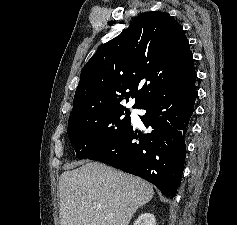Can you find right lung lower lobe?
<instances>
[{"instance_id": "obj_1", "label": "right lung lower lobe", "mask_w": 237, "mask_h": 225, "mask_svg": "<svg viewBox=\"0 0 237 225\" xmlns=\"http://www.w3.org/2000/svg\"><path fill=\"white\" fill-rule=\"evenodd\" d=\"M197 95L195 83L183 88H162L138 107L146 110L141 120L150 133L142 135L131 125L88 159L139 176L165 196L175 197L184 169V137Z\"/></svg>"}]
</instances>
